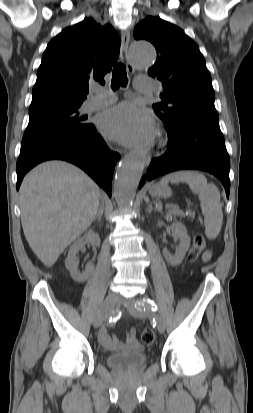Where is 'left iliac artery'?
Masks as SVG:
<instances>
[{"instance_id":"left-iliac-artery-1","label":"left iliac artery","mask_w":253,"mask_h":413,"mask_svg":"<svg viewBox=\"0 0 253 413\" xmlns=\"http://www.w3.org/2000/svg\"><path fill=\"white\" fill-rule=\"evenodd\" d=\"M141 303H142L143 306H145L148 309H151L152 311H157L158 310V307H157L156 303L153 300L149 299L148 297H144L141 300Z\"/></svg>"}]
</instances>
